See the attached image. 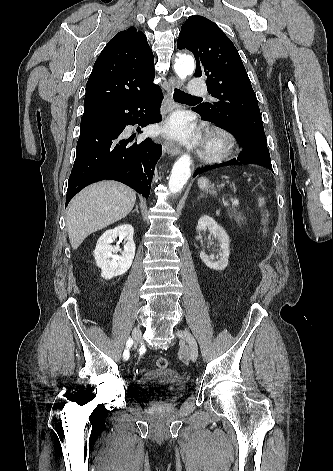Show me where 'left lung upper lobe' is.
<instances>
[{"instance_id": "left-lung-upper-lobe-1", "label": "left lung upper lobe", "mask_w": 333, "mask_h": 471, "mask_svg": "<svg viewBox=\"0 0 333 471\" xmlns=\"http://www.w3.org/2000/svg\"><path fill=\"white\" fill-rule=\"evenodd\" d=\"M178 49L196 59V77H205L208 92L217 102L193 108L202 118L235 135L243 148L267 147L256 95L232 41L212 21L190 16L182 25Z\"/></svg>"}]
</instances>
